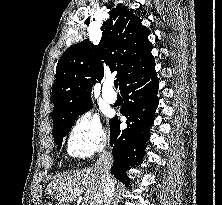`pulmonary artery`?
I'll return each instance as SVG.
<instances>
[{
	"label": "pulmonary artery",
	"instance_id": "obj_1",
	"mask_svg": "<svg viewBox=\"0 0 222 205\" xmlns=\"http://www.w3.org/2000/svg\"><path fill=\"white\" fill-rule=\"evenodd\" d=\"M103 99L108 103H114L117 99L115 91L112 89V83L107 82L102 91Z\"/></svg>",
	"mask_w": 222,
	"mask_h": 205
}]
</instances>
